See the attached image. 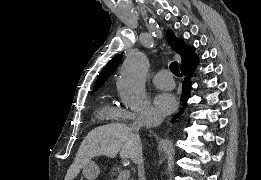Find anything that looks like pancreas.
<instances>
[{
    "label": "pancreas",
    "instance_id": "cf45deb5",
    "mask_svg": "<svg viewBox=\"0 0 261 180\" xmlns=\"http://www.w3.org/2000/svg\"><path fill=\"white\" fill-rule=\"evenodd\" d=\"M122 166H115V168L109 170L106 172L107 176H111V178H114V176H120L122 172Z\"/></svg>",
    "mask_w": 261,
    "mask_h": 180
}]
</instances>
